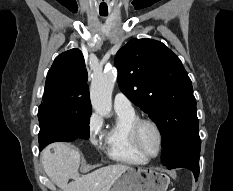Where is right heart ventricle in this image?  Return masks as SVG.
Here are the masks:
<instances>
[{
	"instance_id": "obj_1",
	"label": "right heart ventricle",
	"mask_w": 233,
	"mask_h": 191,
	"mask_svg": "<svg viewBox=\"0 0 233 191\" xmlns=\"http://www.w3.org/2000/svg\"><path fill=\"white\" fill-rule=\"evenodd\" d=\"M117 118L106 133V153L114 161L140 164L147 161L132 144L130 128L138 119L135 112L116 111Z\"/></svg>"
}]
</instances>
